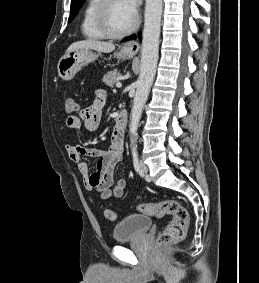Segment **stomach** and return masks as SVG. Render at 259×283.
<instances>
[{"label":"stomach","instance_id":"1","mask_svg":"<svg viewBox=\"0 0 259 283\" xmlns=\"http://www.w3.org/2000/svg\"><path fill=\"white\" fill-rule=\"evenodd\" d=\"M100 54L93 52L91 49H77L65 54L58 62V75L63 80H71L81 67L95 61ZM117 58H130L132 53L120 50L114 54Z\"/></svg>","mask_w":259,"mask_h":283}]
</instances>
